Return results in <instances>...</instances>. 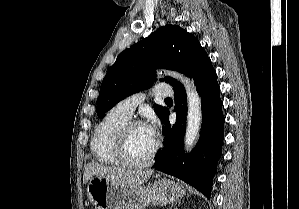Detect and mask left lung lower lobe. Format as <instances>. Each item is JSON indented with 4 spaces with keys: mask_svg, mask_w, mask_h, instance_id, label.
I'll return each instance as SVG.
<instances>
[{
    "mask_svg": "<svg viewBox=\"0 0 299 209\" xmlns=\"http://www.w3.org/2000/svg\"><path fill=\"white\" fill-rule=\"evenodd\" d=\"M202 99L203 122L201 136L190 154L183 153V136L186 129L187 101L184 87H174L176 123L171 127L169 111L162 120L165 124L164 148L159 151L155 168L175 176L210 197L212 179L222 153L224 121L219 85L210 58L192 76Z\"/></svg>",
    "mask_w": 299,
    "mask_h": 209,
    "instance_id": "0a47b994",
    "label": "left lung lower lobe"
}]
</instances>
